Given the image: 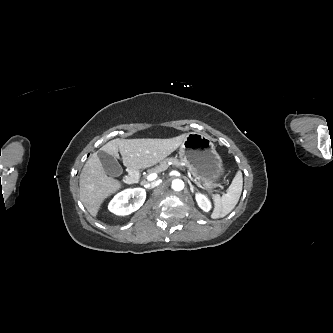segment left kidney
<instances>
[{
    "instance_id": "1",
    "label": "left kidney",
    "mask_w": 333,
    "mask_h": 333,
    "mask_svg": "<svg viewBox=\"0 0 333 333\" xmlns=\"http://www.w3.org/2000/svg\"><path fill=\"white\" fill-rule=\"evenodd\" d=\"M195 198H196V201H197L199 207L203 211L208 212L211 209V203H210V201L208 200V198L205 195H203V194H196Z\"/></svg>"
}]
</instances>
